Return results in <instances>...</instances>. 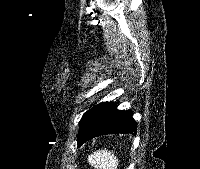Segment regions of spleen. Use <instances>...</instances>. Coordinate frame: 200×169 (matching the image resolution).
Here are the masks:
<instances>
[{
  "label": "spleen",
  "instance_id": "spleen-1",
  "mask_svg": "<svg viewBox=\"0 0 200 169\" xmlns=\"http://www.w3.org/2000/svg\"><path fill=\"white\" fill-rule=\"evenodd\" d=\"M88 161L96 169H117L119 161L113 152L108 150L95 151Z\"/></svg>",
  "mask_w": 200,
  "mask_h": 169
}]
</instances>
